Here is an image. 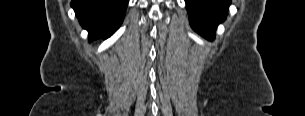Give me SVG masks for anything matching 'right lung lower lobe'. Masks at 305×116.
Here are the masks:
<instances>
[{"instance_id": "obj_1", "label": "right lung lower lobe", "mask_w": 305, "mask_h": 116, "mask_svg": "<svg viewBox=\"0 0 305 116\" xmlns=\"http://www.w3.org/2000/svg\"><path fill=\"white\" fill-rule=\"evenodd\" d=\"M128 0H72L80 24L89 33V40L107 39L121 25Z\"/></svg>"}]
</instances>
